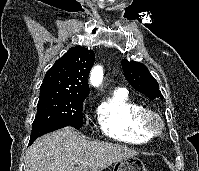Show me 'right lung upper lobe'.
<instances>
[{
	"instance_id": "right-lung-upper-lobe-1",
	"label": "right lung upper lobe",
	"mask_w": 199,
	"mask_h": 171,
	"mask_svg": "<svg viewBox=\"0 0 199 171\" xmlns=\"http://www.w3.org/2000/svg\"><path fill=\"white\" fill-rule=\"evenodd\" d=\"M95 55L85 47H72L47 71L40 90H51L73 96L87 97L88 75Z\"/></svg>"
}]
</instances>
